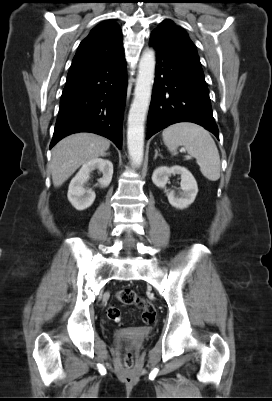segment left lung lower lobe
Returning a JSON list of instances; mask_svg holds the SVG:
<instances>
[{
    "label": "left lung lower lobe",
    "instance_id": "0a47b994",
    "mask_svg": "<svg viewBox=\"0 0 272 401\" xmlns=\"http://www.w3.org/2000/svg\"><path fill=\"white\" fill-rule=\"evenodd\" d=\"M149 44L157 50L158 65L148 114L147 139L178 122L199 124L219 139L199 58L175 49L153 32Z\"/></svg>",
    "mask_w": 272,
    "mask_h": 401
}]
</instances>
